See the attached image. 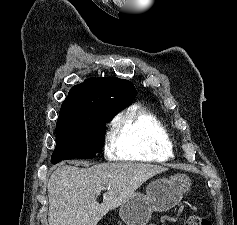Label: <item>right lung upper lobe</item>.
Masks as SVG:
<instances>
[{"label":"right lung upper lobe","mask_w":237,"mask_h":225,"mask_svg":"<svg viewBox=\"0 0 237 225\" xmlns=\"http://www.w3.org/2000/svg\"><path fill=\"white\" fill-rule=\"evenodd\" d=\"M135 97L136 89L128 80L111 77L86 79L71 88L58 119L89 122L101 111L118 113Z\"/></svg>","instance_id":"obj_1"}]
</instances>
